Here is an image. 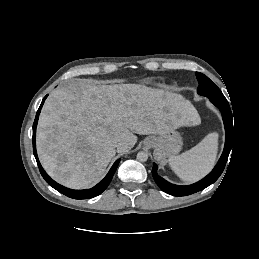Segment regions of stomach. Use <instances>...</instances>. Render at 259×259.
I'll return each instance as SVG.
<instances>
[{
  "label": "stomach",
  "instance_id": "1",
  "mask_svg": "<svg viewBox=\"0 0 259 259\" xmlns=\"http://www.w3.org/2000/svg\"><path fill=\"white\" fill-rule=\"evenodd\" d=\"M144 145L154 148V158L163 161L177 155L182 149L183 141L179 132L171 130L165 134L147 137Z\"/></svg>",
  "mask_w": 259,
  "mask_h": 259
}]
</instances>
